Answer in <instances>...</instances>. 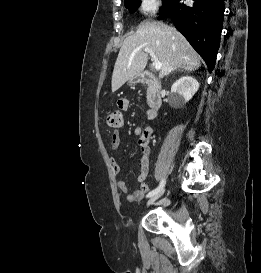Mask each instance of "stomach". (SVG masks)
Masks as SVG:
<instances>
[{
  "label": "stomach",
  "instance_id": "0dacf381",
  "mask_svg": "<svg viewBox=\"0 0 261 273\" xmlns=\"http://www.w3.org/2000/svg\"><path fill=\"white\" fill-rule=\"evenodd\" d=\"M132 83H137V82H140L141 81V79L139 78V77H136V78H134V79H132V80H130Z\"/></svg>",
  "mask_w": 261,
  "mask_h": 273
}]
</instances>
